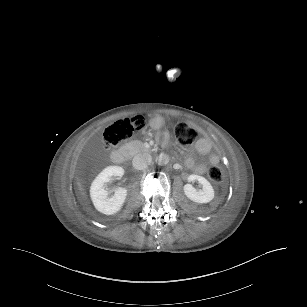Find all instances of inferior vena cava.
<instances>
[{"label":"inferior vena cava","instance_id":"inferior-vena-cava-1","mask_svg":"<svg viewBox=\"0 0 307 307\" xmlns=\"http://www.w3.org/2000/svg\"><path fill=\"white\" fill-rule=\"evenodd\" d=\"M132 164L133 167L137 170H144L147 167L146 161H144V159L140 155L134 156Z\"/></svg>","mask_w":307,"mask_h":307}]
</instances>
